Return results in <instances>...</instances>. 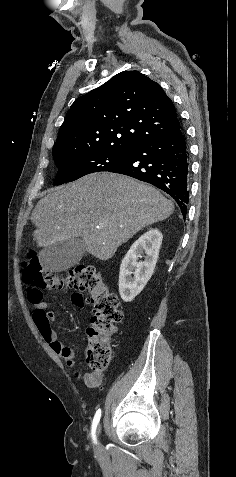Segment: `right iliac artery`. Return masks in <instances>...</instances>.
I'll list each match as a JSON object with an SVG mask.
<instances>
[{"label":"right iliac artery","instance_id":"obj_1","mask_svg":"<svg viewBox=\"0 0 236 477\" xmlns=\"http://www.w3.org/2000/svg\"><path fill=\"white\" fill-rule=\"evenodd\" d=\"M100 417H101V409H98L95 413V416H94V419H93V422H92V430H91V434H92V439H93V442L96 444L97 443V439H96V428H97V425L100 421Z\"/></svg>","mask_w":236,"mask_h":477}]
</instances>
